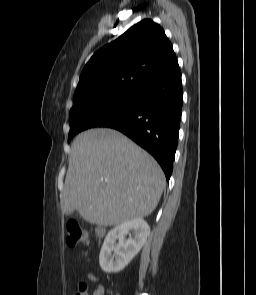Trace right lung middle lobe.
<instances>
[{
  "label": "right lung middle lobe",
  "instance_id": "1",
  "mask_svg": "<svg viewBox=\"0 0 256 295\" xmlns=\"http://www.w3.org/2000/svg\"><path fill=\"white\" fill-rule=\"evenodd\" d=\"M134 101L135 92L89 102L74 100L69 114L68 142L77 133L91 127L85 125V119L90 118L91 122L111 119L131 107Z\"/></svg>",
  "mask_w": 256,
  "mask_h": 295
}]
</instances>
